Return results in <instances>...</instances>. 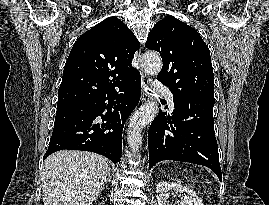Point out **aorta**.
I'll return each mask as SVG.
<instances>
[{
	"label": "aorta",
	"instance_id": "762f6f07",
	"mask_svg": "<svg viewBox=\"0 0 269 205\" xmlns=\"http://www.w3.org/2000/svg\"><path fill=\"white\" fill-rule=\"evenodd\" d=\"M144 71L150 75L157 76L162 69V60L158 53L148 51L143 54L141 59ZM158 111L155 102L144 104L137 110L128 126L127 141L134 154L138 153L142 144V129L149 124Z\"/></svg>",
	"mask_w": 269,
	"mask_h": 205
}]
</instances>
